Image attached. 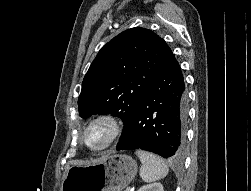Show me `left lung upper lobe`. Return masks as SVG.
I'll return each instance as SVG.
<instances>
[{"instance_id":"1","label":"left lung upper lobe","mask_w":251,"mask_h":191,"mask_svg":"<svg viewBox=\"0 0 251 191\" xmlns=\"http://www.w3.org/2000/svg\"><path fill=\"white\" fill-rule=\"evenodd\" d=\"M171 55L166 42L151 30L135 27L120 33L90 65L78 98L79 115L118 116L124 123L123 135Z\"/></svg>"}]
</instances>
